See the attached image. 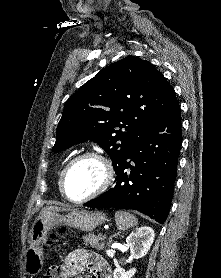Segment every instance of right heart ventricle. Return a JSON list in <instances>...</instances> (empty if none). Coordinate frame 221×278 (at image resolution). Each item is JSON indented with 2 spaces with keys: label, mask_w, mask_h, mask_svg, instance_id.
Returning a JSON list of instances; mask_svg holds the SVG:
<instances>
[{
  "label": "right heart ventricle",
  "mask_w": 221,
  "mask_h": 278,
  "mask_svg": "<svg viewBox=\"0 0 221 278\" xmlns=\"http://www.w3.org/2000/svg\"><path fill=\"white\" fill-rule=\"evenodd\" d=\"M61 173H62V171L60 172V175H59V178H58V185H59V188H60V178H61Z\"/></svg>",
  "instance_id": "1"
}]
</instances>
